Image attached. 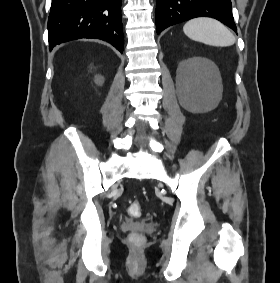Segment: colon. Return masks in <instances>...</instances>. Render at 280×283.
I'll return each mask as SVG.
<instances>
[{
  "label": "colon",
  "mask_w": 280,
  "mask_h": 283,
  "mask_svg": "<svg viewBox=\"0 0 280 283\" xmlns=\"http://www.w3.org/2000/svg\"><path fill=\"white\" fill-rule=\"evenodd\" d=\"M128 214L131 216V217H139L140 214H141V206L138 202H134L132 203L129 208H128ZM133 237H138V235L134 234Z\"/></svg>",
  "instance_id": "colon-1"
}]
</instances>
